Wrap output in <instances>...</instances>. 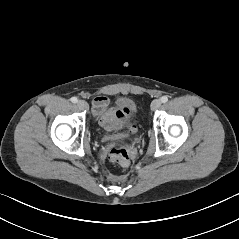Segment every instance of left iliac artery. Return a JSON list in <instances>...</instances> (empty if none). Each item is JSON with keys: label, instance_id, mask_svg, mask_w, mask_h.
<instances>
[{"label": "left iliac artery", "instance_id": "44dca946", "mask_svg": "<svg viewBox=\"0 0 239 239\" xmlns=\"http://www.w3.org/2000/svg\"><path fill=\"white\" fill-rule=\"evenodd\" d=\"M168 101V97L167 96H162L161 97V102L162 103H166Z\"/></svg>", "mask_w": 239, "mask_h": 239}]
</instances>
